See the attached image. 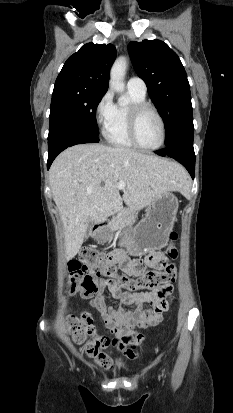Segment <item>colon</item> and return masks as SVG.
Listing matches in <instances>:
<instances>
[{
	"label": "colon",
	"mask_w": 233,
	"mask_h": 413,
	"mask_svg": "<svg viewBox=\"0 0 233 413\" xmlns=\"http://www.w3.org/2000/svg\"><path fill=\"white\" fill-rule=\"evenodd\" d=\"M177 238V232H171V243L167 247V254L172 259L178 257V249L174 244ZM68 270L71 292L78 291L85 297L95 295L101 281H112L133 292L153 291L172 282L176 276V266L172 263H163L157 270L146 269L139 277L131 278L119 273L111 254L92 248L82 249L78 258L70 261ZM67 329L75 342L86 344V352L89 356L97 358L105 367L108 365L109 357L103 350L110 344V340L96 335V328L88 313L78 317L73 316Z\"/></svg>",
	"instance_id": "colon-1"
}]
</instances>
